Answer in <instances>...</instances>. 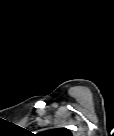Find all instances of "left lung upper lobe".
Masks as SVG:
<instances>
[{
  "label": "left lung upper lobe",
  "mask_w": 114,
  "mask_h": 136,
  "mask_svg": "<svg viewBox=\"0 0 114 136\" xmlns=\"http://www.w3.org/2000/svg\"><path fill=\"white\" fill-rule=\"evenodd\" d=\"M48 136H72L70 130L65 128L53 129L46 131Z\"/></svg>",
  "instance_id": "5c2ea615"
}]
</instances>
